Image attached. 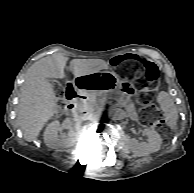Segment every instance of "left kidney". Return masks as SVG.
Segmentation results:
<instances>
[{
  "mask_svg": "<svg viewBox=\"0 0 194 193\" xmlns=\"http://www.w3.org/2000/svg\"><path fill=\"white\" fill-rule=\"evenodd\" d=\"M144 134L148 137V143L130 142L131 151L137 156H146L150 153L157 152L162 144L160 135L154 129H144Z\"/></svg>",
  "mask_w": 194,
  "mask_h": 193,
  "instance_id": "5707ae66",
  "label": "left kidney"
}]
</instances>
